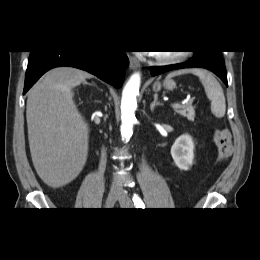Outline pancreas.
<instances>
[{"instance_id": "obj_1", "label": "pancreas", "mask_w": 260, "mask_h": 260, "mask_svg": "<svg viewBox=\"0 0 260 260\" xmlns=\"http://www.w3.org/2000/svg\"><path fill=\"white\" fill-rule=\"evenodd\" d=\"M173 109L181 116L186 117L190 121H194L195 108L192 105H180L179 107H173Z\"/></svg>"}]
</instances>
